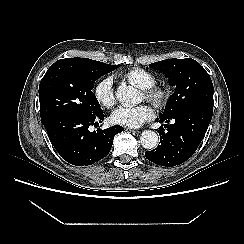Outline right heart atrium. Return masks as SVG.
Listing matches in <instances>:
<instances>
[{"mask_svg":"<svg viewBox=\"0 0 244 244\" xmlns=\"http://www.w3.org/2000/svg\"><path fill=\"white\" fill-rule=\"evenodd\" d=\"M94 96L102 107L111 108L116 100L113 90V79L106 77L101 80L94 89Z\"/></svg>","mask_w":244,"mask_h":244,"instance_id":"1","label":"right heart atrium"}]
</instances>
